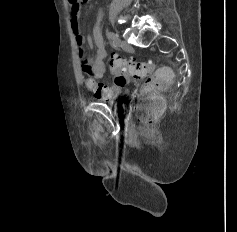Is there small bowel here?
Here are the masks:
<instances>
[{
  "mask_svg": "<svg viewBox=\"0 0 237 232\" xmlns=\"http://www.w3.org/2000/svg\"><path fill=\"white\" fill-rule=\"evenodd\" d=\"M70 2V0H68ZM70 23L75 36L76 47L79 56V65L85 74L88 75L86 79V86L91 90L95 97L101 100H109L117 94V91L103 83L97 82L105 73V60L107 58V51L105 49L104 40L101 32V27L97 23L93 29V38H87L89 46L93 44L97 48L94 57H87L84 51L85 37L81 33L79 24L80 4L70 2Z\"/></svg>",
  "mask_w": 237,
  "mask_h": 232,
  "instance_id": "small-bowel-1",
  "label": "small bowel"
}]
</instances>
